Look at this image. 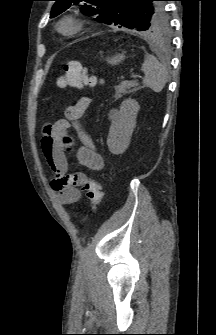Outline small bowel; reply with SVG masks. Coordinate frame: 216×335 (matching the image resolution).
Segmentation results:
<instances>
[{
	"label": "small bowel",
	"mask_w": 216,
	"mask_h": 335,
	"mask_svg": "<svg viewBox=\"0 0 216 335\" xmlns=\"http://www.w3.org/2000/svg\"><path fill=\"white\" fill-rule=\"evenodd\" d=\"M90 104V98L81 97L65 110L64 118L43 127L41 148L53 174L51 188L57 193L58 200L63 205L76 203L81 199L80 187L86 178L82 173L68 174V162L62 141L68 137L70 123L76 126L82 142L77 153L78 161L94 171H101L104 165L102 157L95 150L90 135L81 125V121L87 117Z\"/></svg>",
	"instance_id": "small-bowel-1"
}]
</instances>
